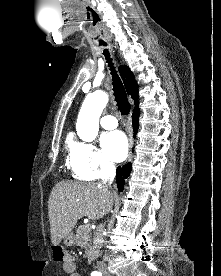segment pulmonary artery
Returning a JSON list of instances; mask_svg holds the SVG:
<instances>
[{
	"mask_svg": "<svg viewBox=\"0 0 221 276\" xmlns=\"http://www.w3.org/2000/svg\"><path fill=\"white\" fill-rule=\"evenodd\" d=\"M100 124L104 129L110 130V129L116 128L118 125V122L115 117L106 115L101 118Z\"/></svg>",
	"mask_w": 221,
	"mask_h": 276,
	"instance_id": "e3ab8cb5",
	"label": "pulmonary artery"
}]
</instances>
